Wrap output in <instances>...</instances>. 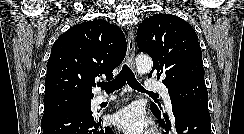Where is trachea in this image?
<instances>
[{
    "instance_id": "3493384b",
    "label": "trachea",
    "mask_w": 244,
    "mask_h": 134,
    "mask_svg": "<svg viewBox=\"0 0 244 134\" xmlns=\"http://www.w3.org/2000/svg\"><path fill=\"white\" fill-rule=\"evenodd\" d=\"M126 82L131 88L139 92H144V93L146 92L145 89L136 80L134 74L131 72V70L128 68L127 65L123 66L121 72L115 79L106 83H102L100 85V88L105 90L106 93H112L115 90L121 89L126 84ZM149 95L158 96L157 93H152V92L149 93Z\"/></svg>"
}]
</instances>
